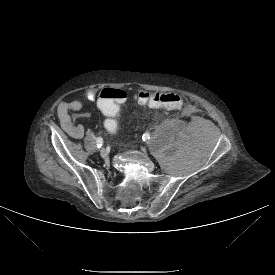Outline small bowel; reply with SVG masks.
I'll use <instances>...</instances> for the list:
<instances>
[{"instance_id":"small-bowel-1","label":"small bowel","mask_w":275,"mask_h":275,"mask_svg":"<svg viewBox=\"0 0 275 275\" xmlns=\"http://www.w3.org/2000/svg\"><path fill=\"white\" fill-rule=\"evenodd\" d=\"M98 95L99 93L95 89H89L85 92L86 99L90 101H97ZM83 112L84 106L78 100H73L70 103H64L60 107V121L62 127L71 137L75 139L83 137L84 128L81 125L74 123L71 117L78 118L83 114Z\"/></svg>"}]
</instances>
